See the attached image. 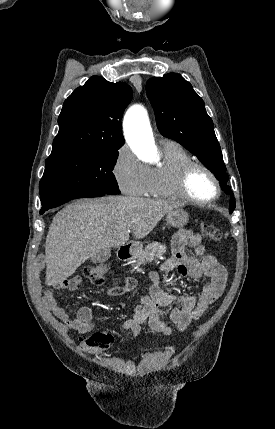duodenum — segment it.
<instances>
[{"label":"duodenum","mask_w":275,"mask_h":429,"mask_svg":"<svg viewBox=\"0 0 275 429\" xmlns=\"http://www.w3.org/2000/svg\"><path fill=\"white\" fill-rule=\"evenodd\" d=\"M134 252V246L132 244H126L120 247L119 257L122 260H129Z\"/></svg>","instance_id":"duodenum-1"}]
</instances>
